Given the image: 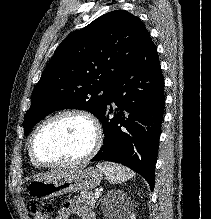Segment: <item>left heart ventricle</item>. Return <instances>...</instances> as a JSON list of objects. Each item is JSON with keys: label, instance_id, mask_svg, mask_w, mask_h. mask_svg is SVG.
I'll use <instances>...</instances> for the list:
<instances>
[{"label": "left heart ventricle", "instance_id": "b2bd125f", "mask_svg": "<svg viewBox=\"0 0 211 219\" xmlns=\"http://www.w3.org/2000/svg\"><path fill=\"white\" fill-rule=\"evenodd\" d=\"M92 142V129L85 120L64 116L41 129L34 144V151L44 162L70 161L82 157Z\"/></svg>", "mask_w": 211, "mask_h": 219}]
</instances>
